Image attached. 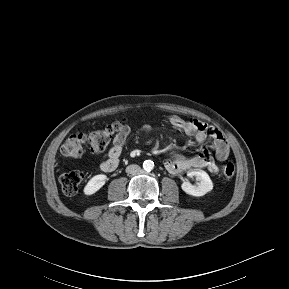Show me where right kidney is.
<instances>
[{"mask_svg": "<svg viewBox=\"0 0 289 289\" xmlns=\"http://www.w3.org/2000/svg\"><path fill=\"white\" fill-rule=\"evenodd\" d=\"M106 180L107 176L104 174H98L93 176L84 187V194L92 195L96 193L100 188L104 186Z\"/></svg>", "mask_w": 289, "mask_h": 289, "instance_id": "right-kidney-1", "label": "right kidney"}]
</instances>
